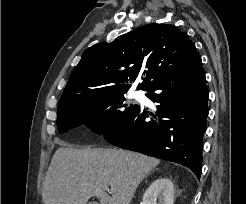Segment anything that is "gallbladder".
Listing matches in <instances>:
<instances>
[{
	"instance_id": "obj_1",
	"label": "gallbladder",
	"mask_w": 246,
	"mask_h": 204,
	"mask_svg": "<svg viewBox=\"0 0 246 204\" xmlns=\"http://www.w3.org/2000/svg\"><path fill=\"white\" fill-rule=\"evenodd\" d=\"M86 204H98L97 202H94V201H91V202H88Z\"/></svg>"
}]
</instances>
